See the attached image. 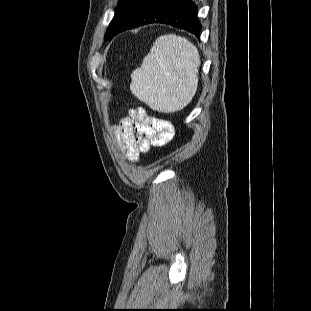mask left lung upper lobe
<instances>
[{"label":"left lung upper lobe","instance_id":"left-lung-upper-lobe-1","mask_svg":"<svg viewBox=\"0 0 311 311\" xmlns=\"http://www.w3.org/2000/svg\"><path fill=\"white\" fill-rule=\"evenodd\" d=\"M127 0H120L119 3H118V8L116 9V12H115V15H114V18L112 19L111 23L109 24V27L106 31V34H105V39H108L112 33V30L114 28V23H115V20H116V17H117V14L120 10V8L123 6V4L126 2Z\"/></svg>","mask_w":311,"mask_h":311}]
</instances>
